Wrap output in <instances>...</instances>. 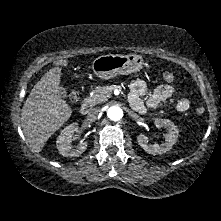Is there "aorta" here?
<instances>
[{
  "instance_id": "762f6f07",
  "label": "aorta",
  "mask_w": 221,
  "mask_h": 221,
  "mask_svg": "<svg viewBox=\"0 0 221 221\" xmlns=\"http://www.w3.org/2000/svg\"><path fill=\"white\" fill-rule=\"evenodd\" d=\"M109 119L113 121H119L123 117V110L119 106H111L107 110Z\"/></svg>"
}]
</instances>
